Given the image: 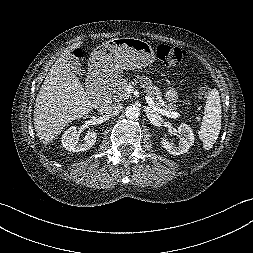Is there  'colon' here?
<instances>
[{
  "label": "colon",
  "mask_w": 253,
  "mask_h": 253,
  "mask_svg": "<svg viewBox=\"0 0 253 253\" xmlns=\"http://www.w3.org/2000/svg\"><path fill=\"white\" fill-rule=\"evenodd\" d=\"M74 55L77 59L83 58V51L81 49H76ZM156 55L159 60L168 66H177L181 64L185 51L178 47H171L166 44L158 45L156 48ZM78 65V64H77ZM211 92V88L208 84L202 83L199 86L198 94L201 98H206Z\"/></svg>",
  "instance_id": "1"
}]
</instances>
